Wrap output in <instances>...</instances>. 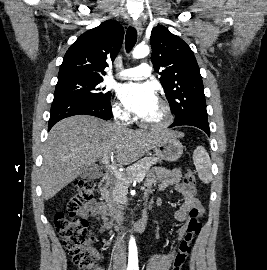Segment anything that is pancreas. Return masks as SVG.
<instances>
[{
	"label": "pancreas",
	"instance_id": "cf45deb5",
	"mask_svg": "<svg viewBox=\"0 0 267 270\" xmlns=\"http://www.w3.org/2000/svg\"><path fill=\"white\" fill-rule=\"evenodd\" d=\"M159 161L160 160L156 157H145L142 160L128 167L126 169V173H123V176L126 178H138L139 181H141L149 172L151 166ZM127 192L128 183L117 178L114 181V186L110 188V192L105 195V198L109 203H112L114 201L123 202L126 200Z\"/></svg>",
	"mask_w": 267,
	"mask_h": 270
}]
</instances>
